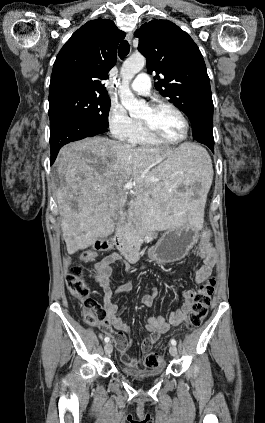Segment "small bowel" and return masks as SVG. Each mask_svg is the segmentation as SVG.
Masks as SVG:
<instances>
[{
    "instance_id": "1",
    "label": "small bowel",
    "mask_w": 265,
    "mask_h": 423,
    "mask_svg": "<svg viewBox=\"0 0 265 423\" xmlns=\"http://www.w3.org/2000/svg\"><path fill=\"white\" fill-rule=\"evenodd\" d=\"M196 254L202 259L203 263L194 270V282L198 286H201L211 275L217 261V256L215 250L210 245L200 247ZM120 262L127 272H133L132 266L127 261H122L120 256L116 253L107 255L96 264V279L104 293L105 311L107 313L106 327H102V330L105 334L112 336L121 354L123 364L133 368L139 367L143 360H136L128 355V349L132 344L131 339L127 336L129 333V326L118 314L119 306L114 300L118 294L131 291L133 286L131 283H123L113 290L112 281L110 279L113 266ZM158 294V289L153 287L143 296L142 303L145 306H151L158 297ZM196 294L197 291L195 290H185L183 292L184 302L180 309L170 312L167 318L162 316H151L148 318L145 327L147 335L141 343V351L143 353H148L158 338L166 333L170 326H177L187 320L194 305Z\"/></svg>"
}]
</instances>
